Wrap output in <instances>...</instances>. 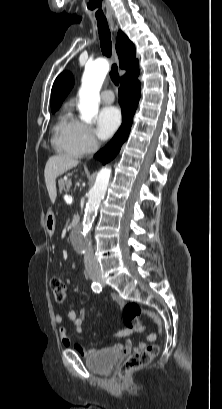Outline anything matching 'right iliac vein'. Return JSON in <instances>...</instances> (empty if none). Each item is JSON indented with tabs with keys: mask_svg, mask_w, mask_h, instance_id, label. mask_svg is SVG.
I'll return each instance as SVG.
<instances>
[{
	"mask_svg": "<svg viewBox=\"0 0 222 409\" xmlns=\"http://www.w3.org/2000/svg\"><path fill=\"white\" fill-rule=\"evenodd\" d=\"M93 279H94V280H97V281H101V278L98 277V276H93Z\"/></svg>",
	"mask_w": 222,
	"mask_h": 409,
	"instance_id": "1",
	"label": "right iliac vein"
}]
</instances>
